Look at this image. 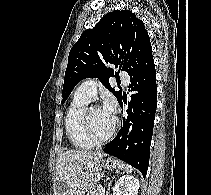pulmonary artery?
<instances>
[{
  "instance_id": "pulmonary-artery-1",
  "label": "pulmonary artery",
  "mask_w": 211,
  "mask_h": 195,
  "mask_svg": "<svg viewBox=\"0 0 211 195\" xmlns=\"http://www.w3.org/2000/svg\"><path fill=\"white\" fill-rule=\"evenodd\" d=\"M119 75L121 79L125 82V84H128L129 82V76L125 71H120ZM97 81L93 79L85 80L83 81L76 89V93L88 98L89 100L94 99L97 93Z\"/></svg>"
}]
</instances>
